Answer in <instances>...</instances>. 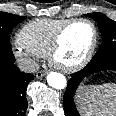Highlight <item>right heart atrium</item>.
I'll return each instance as SVG.
<instances>
[{
    "mask_svg": "<svg viewBox=\"0 0 116 116\" xmlns=\"http://www.w3.org/2000/svg\"><path fill=\"white\" fill-rule=\"evenodd\" d=\"M12 55L19 66L25 71H34L40 60V56L21 46L19 43L13 48Z\"/></svg>",
    "mask_w": 116,
    "mask_h": 116,
    "instance_id": "1",
    "label": "right heart atrium"
}]
</instances>
